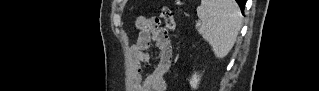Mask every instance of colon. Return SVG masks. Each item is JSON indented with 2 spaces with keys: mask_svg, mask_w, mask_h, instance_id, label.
Instances as JSON below:
<instances>
[{
  "mask_svg": "<svg viewBox=\"0 0 319 91\" xmlns=\"http://www.w3.org/2000/svg\"><path fill=\"white\" fill-rule=\"evenodd\" d=\"M161 16L165 22L166 29L169 32H173L175 30V26H176L173 11L169 7L164 6L162 8ZM155 19H157V18H155Z\"/></svg>",
  "mask_w": 319,
  "mask_h": 91,
  "instance_id": "5ec220e1",
  "label": "colon"
}]
</instances>
